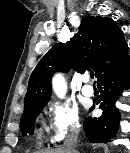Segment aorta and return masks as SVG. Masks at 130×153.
I'll return each instance as SVG.
<instances>
[{
  "mask_svg": "<svg viewBox=\"0 0 130 153\" xmlns=\"http://www.w3.org/2000/svg\"><path fill=\"white\" fill-rule=\"evenodd\" d=\"M52 87L59 98H64L67 92V83L62 74H55L52 79Z\"/></svg>",
  "mask_w": 130,
  "mask_h": 153,
  "instance_id": "1",
  "label": "aorta"
}]
</instances>
